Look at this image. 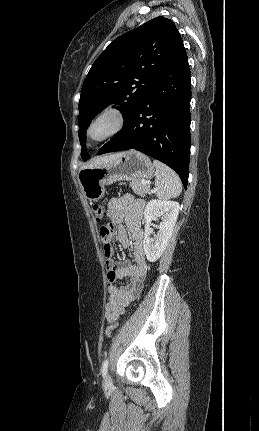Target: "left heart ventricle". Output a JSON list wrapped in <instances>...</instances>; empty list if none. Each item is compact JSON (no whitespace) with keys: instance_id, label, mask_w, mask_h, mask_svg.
<instances>
[{"instance_id":"obj_1","label":"left heart ventricle","mask_w":259,"mask_h":431,"mask_svg":"<svg viewBox=\"0 0 259 431\" xmlns=\"http://www.w3.org/2000/svg\"><path fill=\"white\" fill-rule=\"evenodd\" d=\"M109 127H110V121L108 119L100 121L94 126L92 130L93 137L102 136L109 129Z\"/></svg>"}]
</instances>
